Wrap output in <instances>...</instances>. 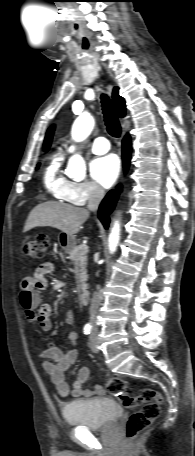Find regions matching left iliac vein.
Wrapping results in <instances>:
<instances>
[{
	"mask_svg": "<svg viewBox=\"0 0 195 456\" xmlns=\"http://www.w3.org/2000/svg\"><path fill=\"white\" fill-rule=\"evenodd\" d=\"M89 347L90 349L97 353L99 352V349H98V346H97V330L96 328H94L90 334V337H89Z\"/></svg>",
	"mask_w": 195,
	"mask_h": 456,
	"instance_id": "obj_1",
	"label": "left iliac vein"
}]
</instances>
